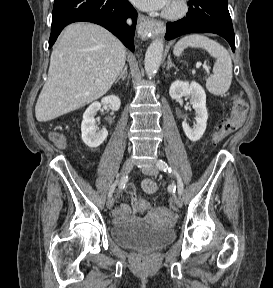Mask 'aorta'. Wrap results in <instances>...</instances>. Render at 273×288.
<instances>
[{"mask_svg": "<svg viewBox=\"0 0 273 288\" xmlns=\"http://www.w3.org/2000/svg\"><path fill=\"white\" fill-rule=\"evenodd\" d=\"M163 41L162 39H155L148 47L145 54V71L148 77H153L161 64L163 56Z\"/></svg>", "mask_w": 273, "mask_h": 288, "instance_id": "762f6f07", "label": "aorta"}]
</instances>
